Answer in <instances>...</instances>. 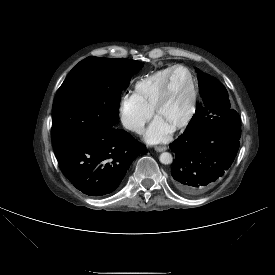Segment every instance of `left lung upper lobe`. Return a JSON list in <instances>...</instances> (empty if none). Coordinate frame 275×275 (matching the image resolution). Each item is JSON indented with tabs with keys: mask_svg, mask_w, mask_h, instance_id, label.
I'll use <instances>...</instances> for the list:
<instances>
[{
	"mask_svg": "<svg viewBox=\"0 0 275 275\" xmlns=\"http://www.w3.org/2000/svg\"><path fill=\"white\" fill-rule=\"evenodd\" d=\"M204 104L199 106L183 134H190L205 127H223L235 135H241L238 113L230 107L224 85L214 77L196 69Z\"/></svg>",
	"mask_w": 275,
	"mask_h": 275,
	"instance_id": "1",
	"label": "left lung upper lobe"
}]
</instances>
